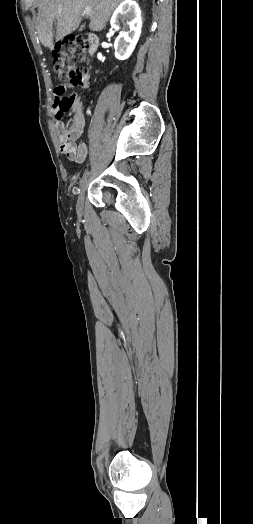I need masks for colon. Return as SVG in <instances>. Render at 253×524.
I'll list each match as a JSON object with an SVG mask.
<instances>
[{"label":"colon","instance_id":"colon-1","mask_svg":"<svg viewBox=\"0 0 253 524\" xmlns=\"http://www.w3.org/2000/svg\"><path fill=\"white\" fill-rule=\"evenodd\" d=\"M90 47L88 38L79 34H70L59 41L53 54V69L63 81L64 89H61L62 96L54 102V110L57 116H63L74 104V96L64 95L66 89L78 87L83 95L91 93L92 81L88 79L87 69L76 67V63L84 60L86 51ZM72 122L67 123V128L72 126Z\"/></svg>","mask_w":253,"mask_h":524}]
</instances>
